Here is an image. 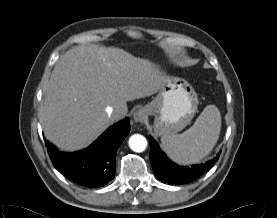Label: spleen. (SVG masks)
I'll return each mask as SVG.
<instances>
[{
	"mask_svg": "<svg viewBox=\"0 0 277 218\" xmlns=\"http://www.w3.org/2000/svg\"><path fill=\"white\" fill-rule=\"evenodd\" d=\"M221 130V115L215 105H208L191 128L178 135H164L161 145L179 164L198 163L216 145Z\"/></svg>",
	"mask_w": 277,
	"mask_h": 218,
	"instance_id": "3e777b00",
	"label": "spleen"
}]
</instances>
